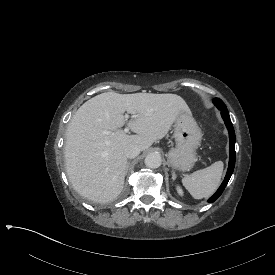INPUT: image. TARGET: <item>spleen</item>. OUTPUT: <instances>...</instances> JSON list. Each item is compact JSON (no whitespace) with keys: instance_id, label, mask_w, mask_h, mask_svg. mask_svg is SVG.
<instances>
[{"instance_id":"1","label":"spleen","mask_w":275,"mask_h":275,"mask_svg":"<svg viewBox=\"0 0 275 275\" xmlns=\"http://www.w3.org/2000/svg\"><path fill=\"white\" fill-rule=\"evenodd\" d=\"M222 172L223 162L217 161L205 169L185 175L182 183L195 199L208 198L218 189Z\"/></svg>"}]
</instances>
